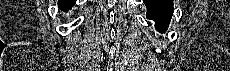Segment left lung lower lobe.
Returning <instances> with one entry per match:
<instances>
[{"label": "left lung lower lobe", "mask_w": 230, "mask_h": 71, "mask_svg": "<svg viewBox=\"0 0 230 71\" xmlns=\"http://www.w3.org/2000/svg\"><path fill=\"white\" fill-rule=\"evenodd\" d=\"M147 13L146 17L155 21V27L165 32L173 14V0H143Z\"/></svg>", "instance_id": "1"}]
</instances>
